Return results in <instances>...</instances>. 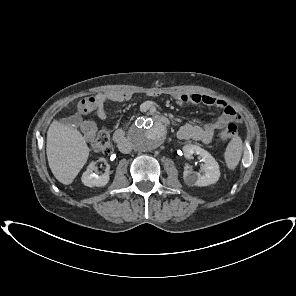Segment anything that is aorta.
I'll return each instance as SVG.
<instances>
[{
  "mask_svg": "<svg viewBox=\"0 0 296 296\" xmlns=\"http://www.w3.org/2000/svg\"><path fill=\"white\" fill-rule=\"evenodd\" d=\"M167 137L166 127L150 118L139 117L129 130V138L136 150L151 151L159 147Z\"/></svg>",
  "mask_w": 296,
  "mask_h": 296,
  "instance_id": "obj_1",
  "label": "aorta"
}]
</instances>
